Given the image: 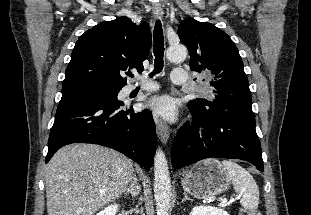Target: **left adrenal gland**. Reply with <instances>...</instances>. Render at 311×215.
<instances>
[{"label":"left adrenal gland","mask_w":311,"mask_h":215,"mask_svg":"<svg viewBox=\"0 0 311 215\" xmlns=\"http://www.w3.org/2000/svg\"><path fill=\"white\" fill-rule=\"evenodd\" d=\"M187 200L193 201L191 198H189V197L187 196L186 193H184V198L182 199V202H185V201H187Z\"/></svg>","instance_id":"a2214340"}]
</instances>
